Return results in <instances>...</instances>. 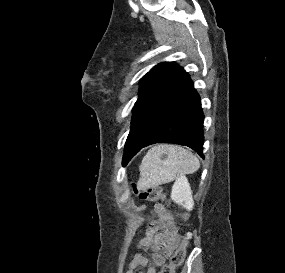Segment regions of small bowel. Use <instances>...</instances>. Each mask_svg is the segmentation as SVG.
Here are the masks:
<instances>
[{
    "instance_id": "obj_1",
    "label": "small bowel",
    "mask_w": 285,
    "mask_h": 273,
    "mask_svg": "<svg viewBox=\"0 0 285 273\" xmlns=\"http://www.w3.org/2000/svg\"><path fill=\"white\" fill-rule=\"evenodd\" d=\"M153 212L157 218L149 223L145 234L138 242L140 251L151 250L152 264L148 266L146 273H157L158 267L165 263L179 242L173 215L160 203L154 205ZM145 265L147 259L141 253H137L126 273H136L138 267Z\"/></svg>"
}]
</instances>
